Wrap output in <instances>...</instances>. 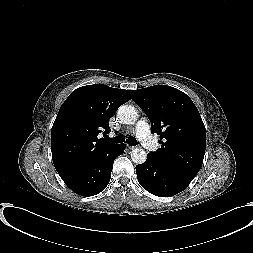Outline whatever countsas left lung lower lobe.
Returning a JSON list of instances; mask_svg holds the SVG:
<instances>
[{
    "label": "left lung lower lobe",
    "instance_id": "left-lung-lower-lobe-1",
    "mask_svg": "<svg viewBox=\"0 0 253 253\" xmlns=\"http://www.w3.org/2000/svg\"><path fill=\"white\" fill-rule=\"evenodd\" d=\"M136 174L141 186L159 197L178 194L194 178V176L162 163L152 153H148L147 160L143 164L136 166Z\"/></svg>",
    "mask_w": 253,
    "mask_h": 253
}]
</instances>
